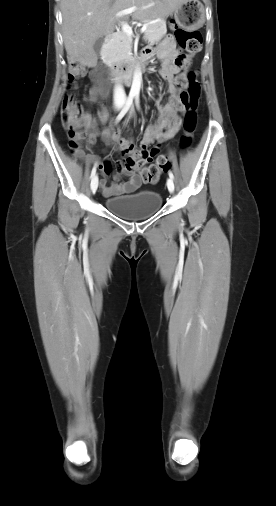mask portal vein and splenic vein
Masks as SVG:
<instances>
[{
  "instance_id": "18ae733b",
  "label": "portal vein and splenic vein",
  "mask_w": 276,
  "mask_h": 506,
  "mask_svg": "<svg viewBox=\"0 0 276 506\" xmlns=\"http://www.w3.org/2000/svg\"><path fill=\"white\" fill-rule=\"evenodd\" d=\"M135 10H137V7H130V8H127V9H124V10L118 12L116 15L122 16V15L130 14V13H133ZM121 27H122L123 32H125L128 36H131L133 34L132 28L127 23L121 22ZM146 29H147V25H144L141 28L140 32L144 33L146 31Z\"/></svg>"
}]
</instances>
